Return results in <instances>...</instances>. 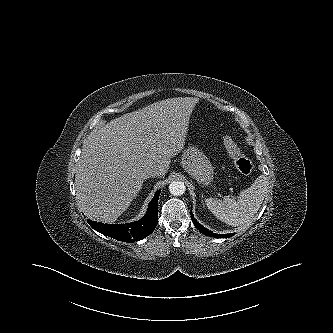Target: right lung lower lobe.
Returning a JSON list of instances; mask_svg holds the SVG:
<instances>
[{
    "instance_id": "obj_1",
    "label": "right lung lower lobe",
    "mask_w": 333,
    "mask_h": 333,
    "mask_svg": "<svg viewBox=\"0 0 333 333\" xmlns=\"http://www.w3.org/2000/svg\"><path fill=\"white\" fill-rule=\"evenodd\" d=\"M161 190H158L151 200L146 215L139 221L128 224H102L89 221V225L103 235L110 236L123 242L139 241L150 235L158 223V198Z\"/></svg>"
}]
</instances>
